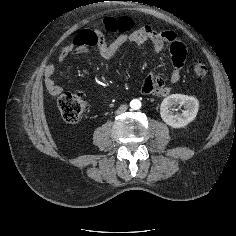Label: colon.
Wrapping results in <instances>:
<instances>
[{"mask_svg":"<svg viewBox=\"0 0 236 236\" xmlns=\"http://www.w3.org/2000/svg\"><path fill=\"white\" fill-rule=\"evenodd\" d=\"M127 20L121 19L120 23L125 24ZM193 73L196 79L203 80L208 73V68L201 62L193 64ZM58 109L63 120L74 124L81 120L83 114L88 109V100L83 94L62 92L57 99Z\"/></svg>","mask_w":236,"mask_h":236,"instance_id":"5ec220e1","label":"colon"}]
</instances>
